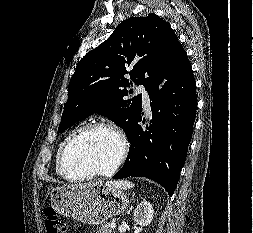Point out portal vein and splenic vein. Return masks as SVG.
<instances>
[{"instance_id":"obj_1","label":"portal vein and splenic vein","mask_w":253,"mask_h":233,"mask_svg":"<svg viewBox=\"0 0 253 233\" xmlns=\"http://www.w3.org/2000/svg\"><path fill=\"white\" fill-rule=\"evenodd\" d=\"M110 227H111V228H116V224H115V223H111V224H110Z\"/></svg>"}]
</instances>
